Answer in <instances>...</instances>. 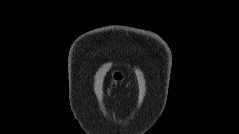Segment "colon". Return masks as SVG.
<instances>
[{
  "label": "colon",
  "instance_id": "obj_1",
  "mask_svg": "<svg viewBox=\"0 0 239 134\" xmlns=\"http://www.w3.org/2000/svg\"><path fill=\"white\" fill-rule=\"evenodd\" d=\"M115 78L118 80V79H119V76H118V75H116V76H115Z\"/></svg>",
  "mask_w": 239,
  "mask_h": 134
}]
</instances>
